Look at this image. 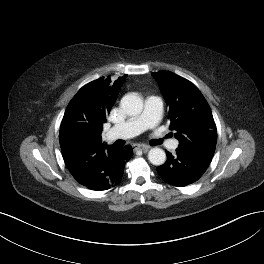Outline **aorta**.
Segmentation results:
<instances>
[{"label": "aorta", "instance_id": "aorta-1", "mask_svg": "<svg viewBox=\"0 0 264 264\" xmlns=\"http://www.w3.org/2000/svg\"><path fill=\"white\" fill-rule=\"evenodd\" d=\"M121 108L130 116L138 115L142 112L143 101L134 93H128L121 99ZM148 160L153 165H162L166 161V153L161 148H152L148 152Z\"/></svg>", "mask_w": 264, "mask_h": 264}]
</instances>
